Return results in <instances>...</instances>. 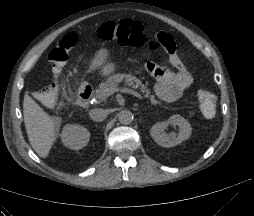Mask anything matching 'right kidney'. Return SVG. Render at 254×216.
Returning <instances> with one entry per match:
<instances>
[{"label": "right kidney", "instance_id": "right-kidney-1", "mask_svg": "<svg viewBox=\"0 0 254 216\" xmlns=\"http://www.w3.org/2000/svg\"><path fill=\"white\" fill-rule=\"evenodd\" d=\"M90 139V132L81 125H65L61 140L64 146L73 150H79L86 146Z\"/></svg>", "mask_w": 254, "mask_h": 216}]
</instances>
